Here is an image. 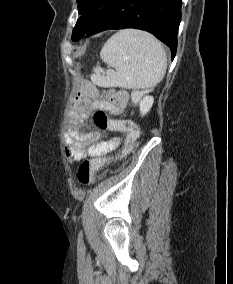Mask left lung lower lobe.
Listing matches in <instances>:
<instances>
[{"label":"left lung lower lobe","mask_w":233,"mask_h":284,"mask_svg":"<svg viewBox=\"0 0 233 284\" xmlns=\"http://www.w3.org/2000/svg\"><path fill=\"white\" fill-rule=\"evenodd\" d=\"M182 0H108L85 36L109 29L137 28L152 33L170 49L174 59Z\"/></svg>","instance_id":"1"}]
</instances>
